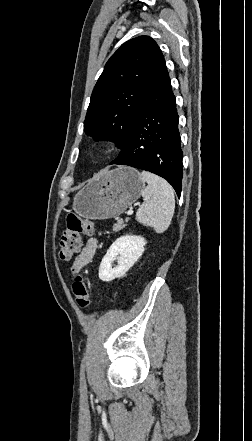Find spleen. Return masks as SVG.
<instances>
[{
  "mask_svg": "<svg viewBox=\"0 0 252 441\" xmlns=\"http://www.w3.org/2000/svg\"><path fill=\"white\" fill-rule=\"evenodd\" d=\"M140 175L148 185L142 191L145 202L137 210L136 220L152 227L157 233H163L168 229L174 214L173 188L166 180L148 171H142Z\"/></svg>",
  "mask_w": 252,
  "mask_h": 441,
  "instance_id": "obj_1",
  "label": "spleen"
}]
</instances>
